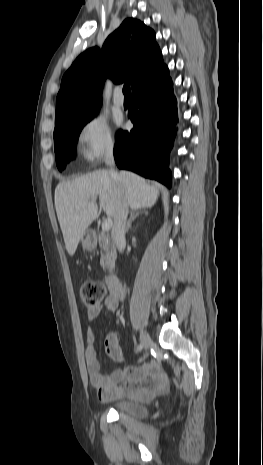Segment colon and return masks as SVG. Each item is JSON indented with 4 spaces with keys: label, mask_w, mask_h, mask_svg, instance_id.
<instances>
[{
    "label": "colon",
    "mask_w": 263,
    "mask_h": 465,
    "mask_svg": "<svg viewBox=\"0 0 263 465\" xmlns=\"http://www.w3.org/2000/svg\"><path fill=\"white\" fill-rule=\"evenodd\" d=\"M80 298L87 307L97 306L105 296V288L96 281H85L80 287Z\"/></svg>",
    "instance_id": "obj_1"
}]
</instances>
